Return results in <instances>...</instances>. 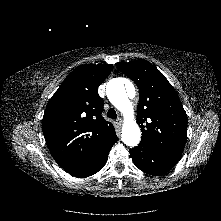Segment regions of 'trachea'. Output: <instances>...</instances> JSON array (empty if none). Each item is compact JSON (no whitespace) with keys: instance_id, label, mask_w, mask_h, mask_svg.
Segmentation results:
<instances>
[{"instance_id":"obj_1","label":"trachea","mask_w":221,"mask_h":221,"mask_svg":"<svg viewBox=\"0 0 221 221\" xmlns=\"http://www.w3.org/2000/svg\"><path fill=\"white\" fill-rule=\"evenodd\" d=\"M107 116L109 118L116 119L117 118L116 111L113 108H110L107 112Z\"/></svg>"}]
</instances>
